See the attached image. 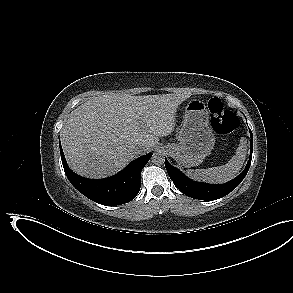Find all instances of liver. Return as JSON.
Returning a JSON list of instances; mask_svg holds the SVG:
<instances>
[{
    "mask_svg": "<svg viewBox=\"0 0 293 293\" xmlns=\"http://www.w3.org/2000/svg\"><path fill=\"white\" fill-rule=\"evenodd\" d=\"M190 95L92 97L70 113L61 130L69 167L94 179L119 172L173 132L177 108Z\"/></svg>",
    "mask_w": 293,
    "mask_h": 293,
    "instance_id": "6515ba94",
    "label": "liver"
}]
</instances>
